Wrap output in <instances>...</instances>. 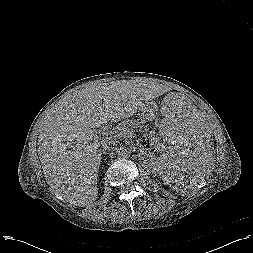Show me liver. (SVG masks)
Segmentation results:
<instances>
[{
	"mask_svg": "<svg viewBox=\"0 0 253 253\" xmlns=\"http://www.w3.org/2000/svg\"><path fill=\"white\" fill-rule=\"evenodd\" d=\"M136 81L94 84L61 101L41 122L38 154L49 186L79 207L98 196L100 144L94 128L131 117L156 97Z\"/></svg>",
	"mask_w": 253,
	"mask_h": 253,
	"instance_id": "1",
	"label": "liver"
}]
</instances>
